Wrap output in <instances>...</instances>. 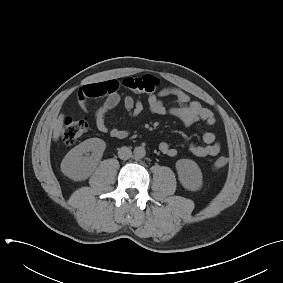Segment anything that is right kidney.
<instances>
[{
    "label": "right kidney",
    "mask_w": 283,
    "mask_h": 283,
    "mask_svg": "<svg viewBox=\"0 0 283 283\" xmlns=\"http://www.w3.org/2000/svg\"><path fill=\"white\" fill-rule=\"evenodd\" d=\"M106 143L90 138L71 149L61 163L62 173L75 181L87 179L103 156Z\"/></svg>",
    "instance_id": "obj_1"
}]
</instances>
